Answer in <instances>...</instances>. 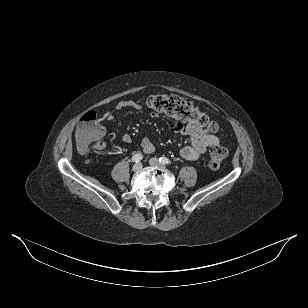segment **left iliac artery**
<instances>
[{
	"mask_svg": "<svg viewBox=\"0 0 308 308\" xmlns=\"http://www.w3.org/2000/svg\"><path fill=\"white\" fill-rule=\"evenodd\" d=\"M159 161L162 164H166V165L171 164V161L168 158H166V157H160Z\"/></svg>",
	"mask_w": 308,
	"mask_h": 308,
	"instance_id": "44dca946",
	"label": "left iliac artery"
}]
</instances>
